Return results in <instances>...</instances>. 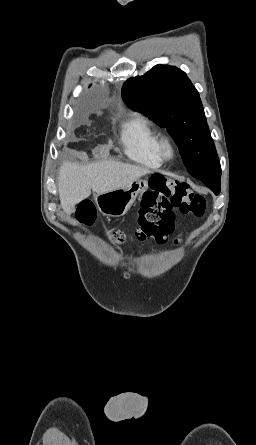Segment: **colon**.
<instances>
[{
  "label": "colon",
  "instance_id": "1",
  "mask_svg": "<svg viewBox=\"0 0 256 445\" xmlns=\"http://www.w3.org/2000/svg\"><path fill=\"white\" fill-rule=\"evenodd\" d=\"M205 208L204 197L192 192L184 183L154 176L150 180V189L141 197L138 225L130 237L139 241L165 243L173 231L175 210L201 217ZM77 217L84 225H92L96 219L94 205L88 200L82 201ZM110 237L116 242H123L129 235L116 229L110 232Z\"/></svg>",
  "mask_w": 256,
  "mask_h": 445
}]
</instances>
